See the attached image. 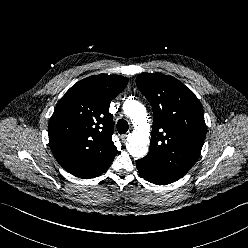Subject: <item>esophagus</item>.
I'll return each mask as SVG.
<instances>
[{"label":"esophagus","mask_w":248,"mask_h":248,"mask_svg":"<svg viewBox=\"0 0 248 248\" xmlns=\"http://www.w3.org/2000/svg\"><path fill=\"white\" fill-rule=\"evenodd\" d=\"M128 136V134H122V135H120V138L122 139V140H125V138Z\"/></svg>","instance_id":"34e87169"}]
</instances>
